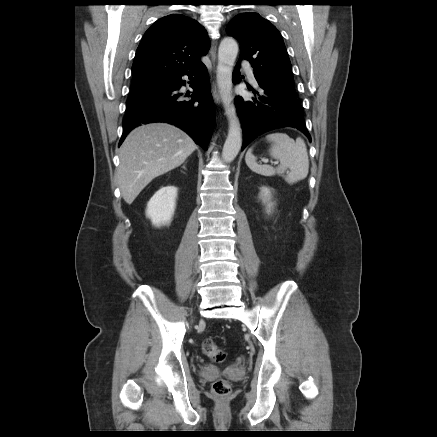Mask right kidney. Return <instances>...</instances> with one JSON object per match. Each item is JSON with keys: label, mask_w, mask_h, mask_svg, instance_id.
I'll return each instance as SVG.
<instances>
[{"label": "right kidney", "mask_w": 437, "mask_h": 437, "mask_svg": "<svg viewBox=\"0 0 437 437\" xmlns=\"http://www.w3.org/2000/svg\"><path fill=\"white\" fill-rule=\"evenodd\" d=\"M178 189L175 186H166L159 189L149 200L146 216L156 227L171 222L176 208Z\"/></svg>", "instance_id": "ca27d5eb"}]
</instances>
